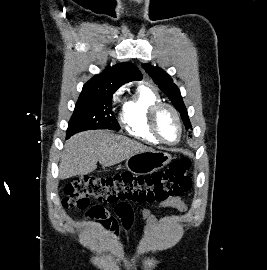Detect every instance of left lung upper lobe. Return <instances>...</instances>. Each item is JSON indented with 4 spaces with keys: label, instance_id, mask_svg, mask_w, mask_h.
<instances>
[{
    "label": "left lung upper lobe",
    "instance_id": "obj_1",
    "mask_svg": "<svg viewBox=\"0 0 267 270\" xmlns=\"http://www.w3.org/2000/svg\"><path fill=\"white\" fill-rule=\"evenodd\" d=\"M144 70L152 77L156 84L159 85L160 90L171 100L172 104L180 113L185 128H191V123L188 117L187 109L182 101L180 90L173 83L172 78L158 67L150 64H143Z\"/></svg>",
    "mask_w": 267,
    "mask_h": 270
}]
</instances>
